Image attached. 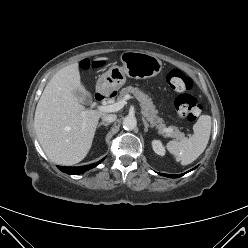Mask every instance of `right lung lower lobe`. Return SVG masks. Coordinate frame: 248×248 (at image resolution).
I'll list each match as a JSON object with an SVG mask.
<instances>
[{
  "instance_id": "98d812e1",
  "label": "right lung lower lobe",
  "mask_w": 248,
  "mask_h": 248,
  "mask_svg": "<svg viewBox=\"0 0 248 248\" xmlns=\"http://www.w3.org/2000/svg\"><path fill=\"white\" fill-rule=\"evenodd\" d=\"M103 161V160H101ZM101 161L94 163V164H90V165H85L82 167H63V166H58V168L63 171L64 173L67 174H82L86 171H88L89 169H92L94 167H96L98 164L101 163Z\"/></svg>"
}]
</instances>
